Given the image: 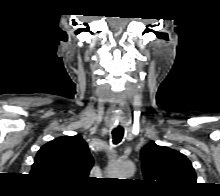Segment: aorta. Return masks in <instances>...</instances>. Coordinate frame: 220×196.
<instances>
[{
	"instance_id": "762f6f07",
	"label": "aorta",
	"mask_w": 220,
	"mask_h": 196,
	"mask_svg": "<svg viewBox=\"0 0 220 196\" xmlns=\"http://www.w3.org/2000/svg\"><path fill=\"white\" fill-rule=\"evenodd\" d=\"M110 174L119 179H127L134 174L135 166L128 160H116L109 166Z\"/></svg>"
}]
</instances>
